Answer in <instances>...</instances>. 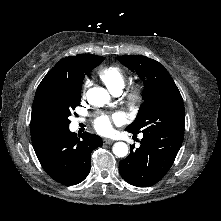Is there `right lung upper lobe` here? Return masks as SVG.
<instances>
[{"instance_id":"right-lung-upper-lobe-1","label":"right lung upper lobe","mask_w":221,"mask_h":221,"mask_svg":"<svg viewBox=\"0 0 221 221\" xmlns=\"http://www.w3.org/2000/svg\"><path fill=\"white\" fill-rule=\"evenodd\" d=\"M97 55L79 54L61 59L39 84L31 114L32 143L42 140L54 133L45 117L44 104L51 93H66L71 89H81L85 74L81 71L84 63Z\"/></svg>"}]
</instances>
